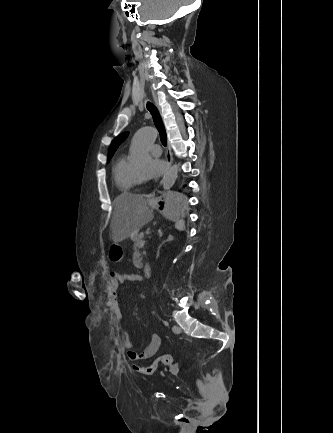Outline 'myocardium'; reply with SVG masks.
Instances as JSON below:
<instances>
[{
  "label": "myocardium",
  "mask_w": 333,
  "mask_h": 433,
  "mask_svg": "<svg viewBox=\"0 0 333 433\" xmlns=\"http://www.w3.org/2000/svg\"><path fill=\"white\" fill-rule=\"evenodd\" d=\"M133 176H134L136 183H138V184H140L144 181L143 177L135 170V168L133 169Z\"/></svg>",
  "instance_id": "myocardium-1"
}]
</instances>
